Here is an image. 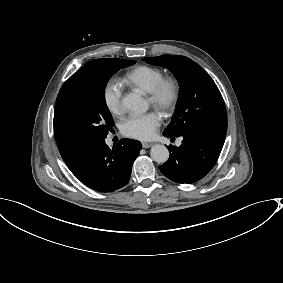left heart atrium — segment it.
<instances>
[{"instance_id":"obj_1","label":"left heart atrium","mask_w":283,"mask_h":283,"mask_svg":"<svg viewBox=\"0 0 283 283\" xmlns=\"http://www.w3.org/2000/svg\"><path fill=\"white\" fill-rule=\"evenodd\" d=\"M161 122V114L152 110L145 114H129L121 124L124 135L139 139H150L156 135Z\"/></svg>"}]
</instances>
